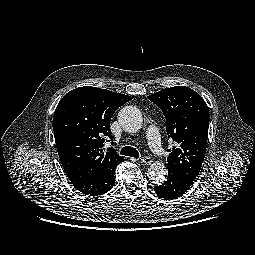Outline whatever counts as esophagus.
<instances>
[{
	"label": "esophagus",
	"instance_id": "obj_1",
	"mask_svg": "<svg viewBox=\"0 0 255 255\" xmlns=\"http://www.w3.org/2000/svg\"><path fill=\"white\" fill-rule=\"evenodd\" d=\"M141 162L144 165H150L152 163V159L148 156H144V157L141 158Z\"/></svg>",
	"mask_w": 255,
	"mask_h": 255
}]
</instances>
